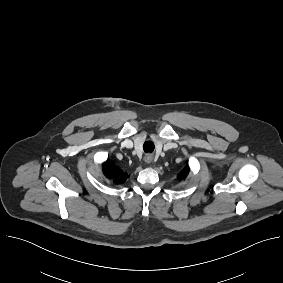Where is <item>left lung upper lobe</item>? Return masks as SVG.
<instances>
[{
	"instance_id": "5c2ea615",
	"label": "left lung upper lobe",
	"mask_w": 283,
	"mask_h": 283,
	"mask_svg": "<svg viewBox=\"0 0 283 283\" xmlns=\"http://www.w3.org/2000/svg\"><path fill=\"white\" fill-rule=\"evenodd\" d=\"M189 172V168L186 167L184 168L179 174H178V179H182V178H185L187 176Z\"/></svg>"
}]
</instances>
